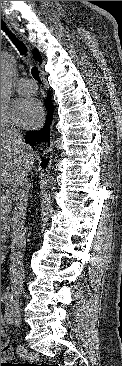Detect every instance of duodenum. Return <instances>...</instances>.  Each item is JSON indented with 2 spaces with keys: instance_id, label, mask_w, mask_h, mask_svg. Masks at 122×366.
<instances>
[{
  "instance_id": "obj_1",
  "label": "duodenum",
  "mask_w": 122,
  "mask_h": 366,
  "mask_svg": "<svg viewBox=\"0 0 122 366\" xmlns=\"http://www.w3.org/2000/svg\"><path fill=\"white\" fill-rule=\"evenodd\" d=\"M8 253V247L7 246H1V259L4 258Z\"/></svg>"
}]
</instances>
